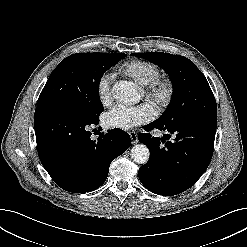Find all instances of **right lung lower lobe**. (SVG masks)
<instances>
[{
  "label": "right lung lower lobe",
  "instance_id": "1",
  "mask_svg": "<svg viewBox=\"0 0 247 247\" xmlns=\"http://www.w3.org/2000/svg\"><path fill=\"white\" fill-rule=\"evenodd\" d=\"M98 123L99 119L84 120L57 105H37L34 128L38 155L62 189L85 193L99 188L111 162L130 146L129 134L119 128L92 140L88 126Z\"/></svg>",
  "mask_w": 247,
  "mask_h": 247
}]
</instances>
